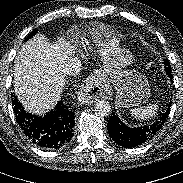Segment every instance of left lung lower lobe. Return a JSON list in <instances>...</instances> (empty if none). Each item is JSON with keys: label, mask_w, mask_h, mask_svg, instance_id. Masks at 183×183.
Masks as SVG:
<instances>
[{"label": "left lung lower lobe", "mask_w": 183, "mask_h": 183, "mask_svg": "<svg viewBox=\"0 0 183 183\" xmlns=\"http://www.w3.org/2000/svg\"><path fill=\"white\" fill-rule=\"evenodd\" d=\"M166 67V66H165ZM169 78L172 80L171 68L168 67L166 70ZM171 102L166 109V112L160 118V121H156L148 126L143 127H128L126 126L115 114L112 112V116L108 121V132L110 137L120 146L125 148H132L143 144L145 141L152 138L165 123L166 118L170 112Z\"/></svg>", "instance_id": "obj_1"}]
</instances>
